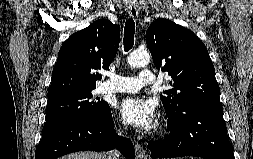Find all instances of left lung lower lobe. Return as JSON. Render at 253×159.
Returning <instances> with one entry per match:
<instances>
[{
  "mask_svg": "<svg viewBox=\"0 0 253 159\" xmlns=\"http://www.w3.org/2000/svg\"><path fill=\"white\" fill-rule=\"evenodd\" d=\"M169 135L148 144L151 158L198 156L235 159L227 136L222 107L193 104L176 118L168 119Z\"/></svg>",
  "mask_w": 253,
  "mask_h": 159,
  "instance_id": "0a47b994",
  "label": "left lung lower lobe"
}]
</instances>
